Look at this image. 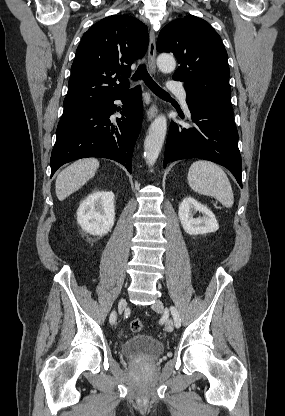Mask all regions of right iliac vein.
I'll return each instance as SVG.
<instances>
[{
    "instance_id": "right-iliac-vein-1",
    "label": "right iliac vein",
    "mask_w": 285,
    "mask_h": 416,
    "mask_svg": "<svg viewBox=\"0 0 285 416\" xmlns=\"http://www.w3.org/2000/svg\"><path fill=\"white\" fill-rule=\"evenodd\" d=\"M126 306V299L125 298H121L118 302V313L119 315L122 314L124 308Z\"/></svg>"
}]
</instances>
